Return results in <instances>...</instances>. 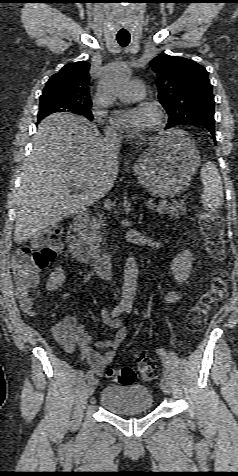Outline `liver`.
I'll list each match as a JSON object with an SVG mask.
<instances>
[{
	"label": "liver",
	"instance_id": "liver-1",
	"mask_svg": "<svg viewBox=\"0 0 238 476\" xmlns=\"http://www.w3.org/2000/svg\"><path fill=\"white\" fill-rule=\"evenodd\" d=\"M118 159L106 155L95 124L69 113L43 119L22 166L14 240L27 241L69 215L79 214L114 185Z\"/></svg>",
	"mask_w": 238,
	"mask_h": 476
}]
</instances>
